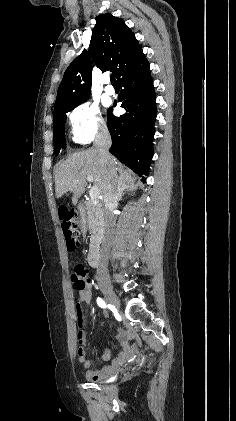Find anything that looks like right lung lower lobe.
I'll use <instances>...</instances> for the list:
<instances>
[{
    "label": "right lung lower lobe",
    "instance_id": "obj_1",
    "mask_svg": "<svg viewBox=\"0 0 236 421\" xmlns=\"http://www.w3.org/2000/svg\"><path fill=\"white\" fill-rule=\"evenodd\" d=\"M116 78L122 87L118 101L126 113L115 117L112 115L113 107L108 109L107 126L112 137L109 151L139 176L148 175L156 119L149 62L143 55L121 70ZM142 181L145 182V178Z\"/></svg>",
    "mask_w": 236,
    "mask_h": 421
}]
</instances>
